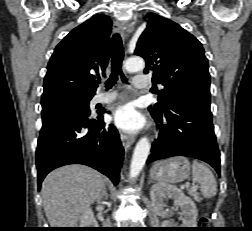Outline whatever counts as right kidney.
<instances>
[{"mask_svg":"<svg viewBox=\"0 0 252 231\" xmlns=\"http://www.w3.org/2000/svg\"><path fill=\"white\" fill-rule=\"evenodd\" d=\"M80 227L82 228H97L98 223L94 218V214L91 209H87L83 212L81 216Z\"/></svg>","mask_w":252,"mask_h":231,"instance_id":"right-kidney-1","label":"right kidney"}]
</instances>
